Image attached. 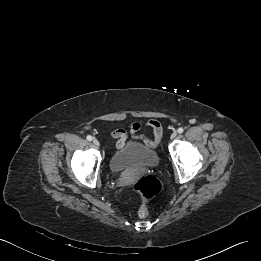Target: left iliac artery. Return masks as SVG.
Instances as JSON below:
<instances>
[{"instance_id":"1","label":"left iliac artery","mask_w":261,"mask_h":261,"mask_svg":"<svg viewBox=\"0 0 261 261\" xmlns=\"http://www.w3.org/2000/svg\"><path fill=\"white\" fill-rule=\"evenodd\" d=\"M178 133H183L184 129L182 127L178 128Z\"/></svg>"}]
</instances>
